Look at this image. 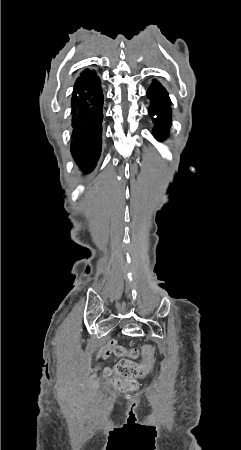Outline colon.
Here are the masks:
<instances>
[{"mask_svg":"<svg viewBox=\"0 0 241 450\" xmlns=\"http://www.w3.org/2000/svg\"><path fill=\"white\" fill-rule=\"evenodd\" d=\"M143 355L145 356V359L142 363H137V361L132 360H121L119 363H116L114 365L115 375L121 378L124 377H130L132 375L134 376H145L147 374V369L152 368L153 362H154V356L153 354L156 352V348L152 343L146 342L143 347ZM117 355H122L125 352L122 349H117L116 351ZM131 354L135 356L137 353L136 351H132ZM103 375L108 376L111 373L110 368L105 367L102 370ZM114 384L117 388L127 387L129 388L131 386L130 382L123 379L121 381L118 378L113 379Z\"/></svg>","mask_w":241,"mask_h":450,"instance_id":"1","label":"colon"}]
</instances>
